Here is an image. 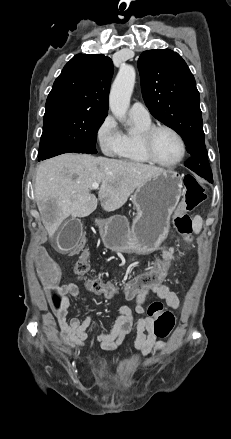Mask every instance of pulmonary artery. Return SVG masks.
I'll list each match as a JSON object with an SVG mask.
<instances>
[{
    "mask_svg": "<svg viewBox=\"0 0 231 439\" xmlns=\"http://www.w3.org/2000/svg\"><path fill=\"white\" fill-rule=\"evenodd\" d=\"M129 114L132 118H137L144 121L150 120V113L145 105L141 102H134L130 107Z\"/></svg>",
    "mask_w": 231,
    "mask_h": 439,
    "instance_id": "pulmonary-artery-1",
    "label": "pulmonary artery"
}]
</instances>
